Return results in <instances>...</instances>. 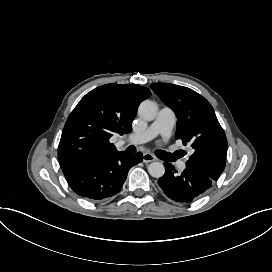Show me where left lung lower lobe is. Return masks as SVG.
<instances>
[{"mask_svg": "<svg viewBox=\"0 0 272 272\" xmlns=\"http://www.w3.org/2000/svg\"><path fill=\"white\" fill-rule=\"evenodd\" d=\"M165 174L159 178L158 184L167 197L179 203H191L206 192L214 184V180L202 172L188 168L176 174L175 167L170 163H164Z\"/></svg>", "mask_w": 272, "mask_h": 272, "instance_id": "obj_1", "label": "left lung lower lobe"}]
</instances>
